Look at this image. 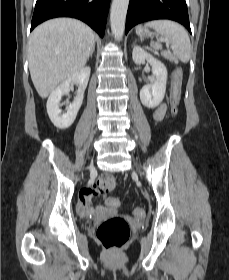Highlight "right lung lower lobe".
I'll list each match as a JSON object with an SVG mask.
<instances>
[{"label": "right lung lower lobe", "instance_id": "98d812e1", "mask_svg": "<svg viewBox=\"0 0 229 280\" xmlns=\"http://www.w3.org/2000/svg\"><path fill=\"white\" fill-rule=\"evenodd\" d=\"M110 0H37L31 31L40 23L56 17L82 20L104 36Z\"/></svg>", "mask_w": 229, "mask_h": 280}]
</instances>
